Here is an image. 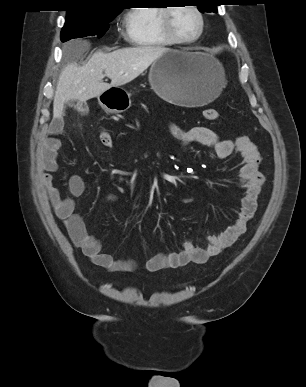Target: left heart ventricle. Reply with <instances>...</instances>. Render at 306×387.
Segmentation results:
<instances>
[{
	"label": "left heart ventricle",
	"mask_w": 306,
	"mask_h": 387,
	"mask_svg": "<svg viewBox=\"0 0 306 387\" xmlns=\"http://www.w3.org/2000/svg\"><path fill=\"white\" fill-rule=\"evenodd\" d=\"M172 24L177 35L185 39L195 37L200 27L197 14L188 7H177L174 10Z\"/></svg>",
	"instance_id": "1"
}]
</instances>
